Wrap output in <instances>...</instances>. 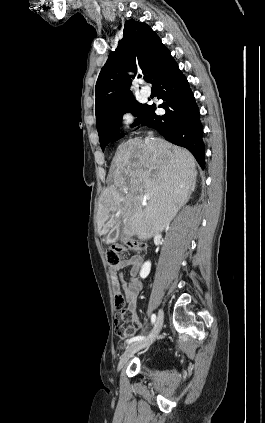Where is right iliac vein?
<instances>
[{
  "instance_id": "obj_1",
  "label": "right iliac vein",
  "mask_w": 265,
  "mask_h": 423,
  "mask_svg": "<svg viewBox=\"0 0 265 423\" xmlns=\"http://www.w3.org/2000/svg\"><path fill=\"white\" fill-rule=\"evenodd\" d=\"M163 319H164V314H163V311L160 310L158 312V317H157L156 323H155L154 328H153L152 332L150 333V335L146 339L134 342L129 347H127V349L125 350V352L123 353V355H122V357L119 361L118 371H120L125 366V364L128 362V360L136 352H138L139 350H141L145 347L150 346L155 341V339L159 335L161 328L163 326Z\"/></svg>"
}]
</instances>
